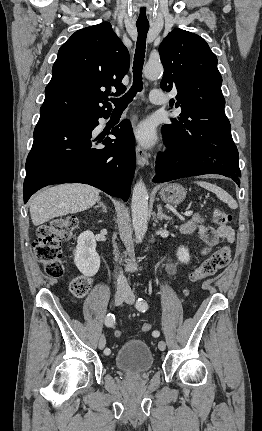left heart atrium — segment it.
<instances>
[{"instance_id": "obj_1", "label": "left heart atrium", "mask_w": 262, "mask_h": 431, "mask_svg": "<svg viewBox=\"0 0 262 431\" xmlns=\"http://www.w3.org/2000/svg\"><path fill=\"white\" fill-rule=\"evenodd\" d=\"M135 135L139 142L144 146H151L155 140V131L153 126L148 122H142L135 130Z\"/></svg>"}]
</instances>
